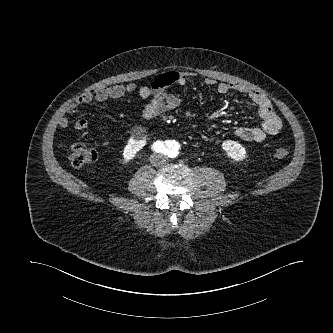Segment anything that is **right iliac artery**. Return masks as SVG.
Listing matches in <instances>:
<instances>
[{
  "label": "right iliac artery",
  "mask_w": 333,
  "mask_h": 333,
  "mask_svg": "<svg viewBox=\"0 0 333 333\" xmlns=\"http://www.w3.org/2000/svg\"><path fill=\"white\" fill-rule=\"evenodd\" d=\"M152 149H154L155 151H157V152H162V153H166L165 152V145L162 143V142H160V141H157V142H155L154 144H153V148Z\"/></svg>",
  "instance_id": "82829eb1"
}]
</instances>
